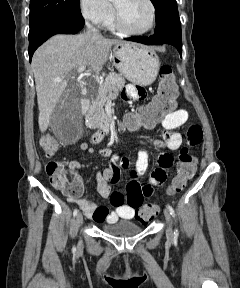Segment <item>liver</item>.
Masks as SVG:
<instances>
[{
    "label": "liver",
    "instance_id": "obj_1",
    "mask_svg": "<svg viewBox=\"0 0 240 288\" xmlns=\"http://www.w3.org/2000/svg\"><path fill=\"white\" fill-rule=\"evenodd\" d=\"M120 39L93 37L90 32L78 35H55L39 47L32 58L37 102L39 129L45 132L51 114L68 85L72 70L82 65L99 72L105 65L113 45ZM62 81H55L57 78Z\"/></svg>",
    "mask_w": 240,
    "mask_h": 288
}]
</instances>
